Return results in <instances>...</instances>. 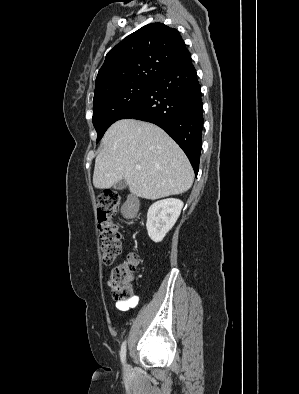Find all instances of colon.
Listing matches in <instances>:
<instances>
[{"label":"colon","mask_w":299,"mask_h":394,"mask_svg":"<svg viewBox=\"0 0 299 394\" xmlns=\"http://www.w3.org/2000/svg\"><path fill=\"white\" fill-rule=\"evenodd\" d=\"M121 196L116 191H106L96 198L98 229L100 233V250L105 264H112L120 255V232L113 222ZM139 263L137 254L130 253L127 259L116 266L111 273L109 287L113 297L118 301L133 298L132 280Z\"/></svg>","instance_id":"obj_1"}]
</instances>
